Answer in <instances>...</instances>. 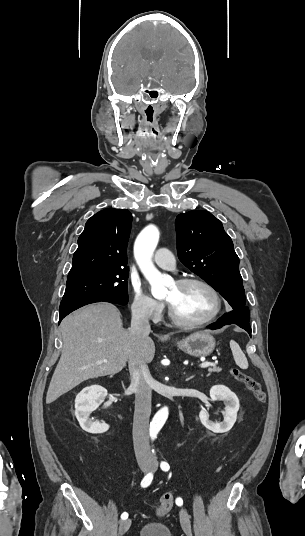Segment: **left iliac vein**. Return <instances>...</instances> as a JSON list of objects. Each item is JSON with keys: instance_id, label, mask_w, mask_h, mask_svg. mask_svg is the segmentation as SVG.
Wrapping results in <instances>:
<instances>
[{"instance_id": "1", "label": "left iliac vein", "mask_w": 305, "mask_h": 536, "mask_svg": "<svg viewBox=\"0 0 305 536\" xmlns=\"http://www.w3.org/2000/svg\"><path fill=\"white\" fill-rule=\"evenodd\" d=\"M156 468H157V463L154 462L153 465H152V471H155ZM179 516H180L181 526H182L183 531L185 532L186 536H192L191 521H190L189 514L187 513V511L185 509L182 508L180 510Z\"/></svg>"}]
</instances>
